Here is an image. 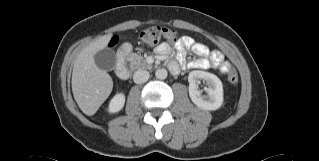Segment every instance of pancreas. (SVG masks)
Wrapping results in <instances>:
<instances>
[{
	"label": "pancreas",
	"mask_w": 319,
	"mask_h": 161,
	"mask_svg": "<svg viewBox=\"0 0 319 161\" xmlns=\"http://www.w3.org/2000/svg\"><path fill=\"white\" fill-rule=\"evenodd\" d=\"M127 60L136 69H139V68H151V65L148 64L146 62V60L142 56H140V55H138L136 53H130L127 56Z\"/></svg>",
	"instance_id": "cf45deb5"
}]
</instances>
